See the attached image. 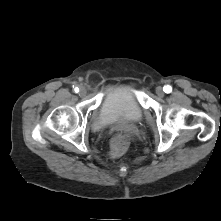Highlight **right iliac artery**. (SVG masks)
<instances>
[{"label": "right iliac artery", "mask_w": 221, "mask_h": 221, "mask_svg": "<svg viewBox=\"0 0 221 221\" xmlns=\"http://www.w3.org/2000/svg\"><path fill=\"white\" fill-rule=\"evenodd\" d=\"M74 91H75L76 93H78V92H79V89L76 87V88L74 89Z\"/></svg>", "instance_id": "obj_1"}]
</instances>
